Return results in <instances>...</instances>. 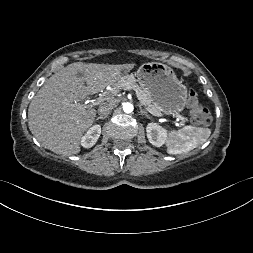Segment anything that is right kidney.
<instances>
[{
    "label": "right kidney",
    "instance_id": "right-kidney-1",
    "mask_svg": "<svg viewBox=\"0 0 253 253\" xmlns=\"http://www.w3.org/2000/svg\"><path fill=\"white\" fill-rule=\"evenodd\" d=\"M101 134V126L96 124L94 126H92L86 133L84 136H82L81 138V145L84 148H90L93 145H95V143L97 142L98 138L100 137Z\"/></svg>",
    "mask_w": 253,
    "mask_h": 253
}]
</instances>
